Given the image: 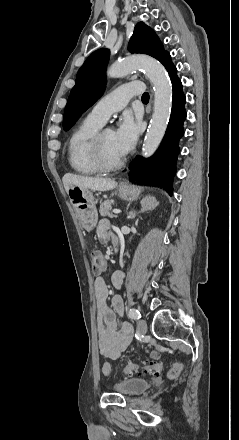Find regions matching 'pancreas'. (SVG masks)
<instances>
[{
    "mask_svg": "<svg viewBox=\"0 0 239 440\" xmlns=\"http://www.w3.org/2000/svg\"><path fill=\"white\" fill-rule=\"evenodd\" d=\"M111 204L112 202H110V200H104L103 204H100L99 214H101V216H109V218H117V216L109 212V210H111Z\"/></svg>",
    "mask_w": 239,
    "mask_h": 440,
    "instance_id": "pancreas-1",
    "label": "pancreas"
}]
</instances>
